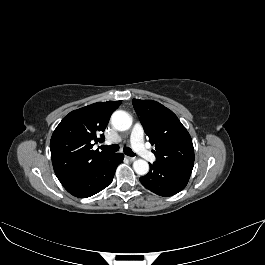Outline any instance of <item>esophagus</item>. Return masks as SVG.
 Returning <instances> with one entry per match:
<instances>
[{
  "label": "esophagus",
  "instance_id": "1",
  "mask_svg": "<svg viewBox=\"0 0 265 265\" xmlns=\"http://www.w3.org/2000/svg\"><path fill=\"white\" fill-rule=\"evenodd\" d=\"M127 158H128V160L131 161V162L134 161V160L136 159L135 157H130V156H127Z\"/></svg>",
  "mask_w": 265,
  "mask_h": 265
}]
</instances>
